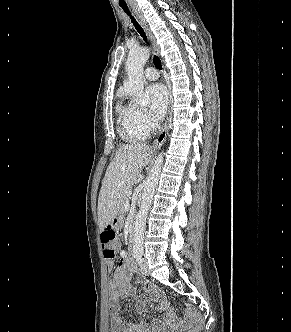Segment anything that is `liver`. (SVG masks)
Segmentation results:
<instances>
[{"mask_svg": "<svg viewBox=\"0 0 291 332\" xmlns=\"http://www.w3.org/2000/svg\"><path fill=\"white\" fill-rule=\"evenodd\" d=\"M152 155L153 150L145 143L127 144L116 152L99 193L97 213L100 231L117 216L123 194L133 186Z\"/></svg>", "mask_w": 291, "mask_h": 332, "instance_id": "1", "label": "liver"}]
</instances>
